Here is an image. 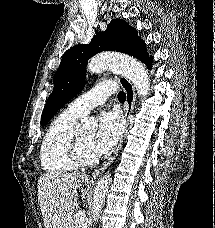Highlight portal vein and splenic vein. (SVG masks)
Segmentation results:
<instances>
[{
  "mask_svg": "<svg viewBox=\"0 0 215 228\" xmlns=\"http://www.w3.org/2000/svg\"><path fill=\"white\" fill-rule=\"evenodd\" d=\"M84 218H85L84 212H78V214H76L75 216V220H77V222H83Z\"/></svg>",
  "mask_w": 215,
  "mask_h": 228,
  "instance_id": "1",
  "label": "portal vein and splenic vein"
}]
</instances>
